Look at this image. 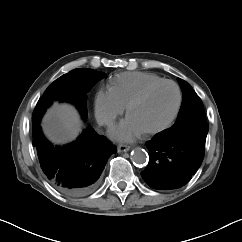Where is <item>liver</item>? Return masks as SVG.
Wrapping results in <instances>:
<instances>
[{
	"label": "liver",
	"mask_w": 242,
	"mask_h": 242,
	"mask_svg": "<svg viewBox=\"0 0 242 242\" xmlns=\"http://www.w3.org/2000/svg\"><path fill=\"white\" fill-rule=\"evenodd\" d=\"M46 134L57 142H67L77 137L81 121L76 110L67 104H56L43 120Z\"/></svg>",
	"instance_id": "liver-1"
}]
</instances>
